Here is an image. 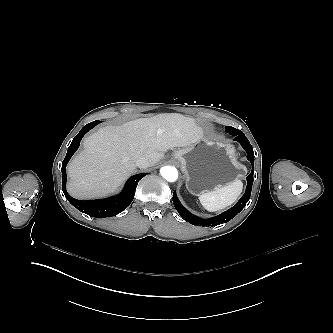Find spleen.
Wrapping results in <instances>:
<instances>
[{"label":"spleen","instance_id":"3e777b00","mask_svg":"<svg viewBox=\"0 0 333 333\" xmlns=\"http://www.w3.org/2000/svg\"><path fill=\"white\" fill-rule=\"evenodd\" d=\"M243 184L234 180L213 191H206L199 195L200 203L208 211H217L233 204L242 191Z\"/></svg>","mask_w":333,"mask_h":333}]
</instances>
